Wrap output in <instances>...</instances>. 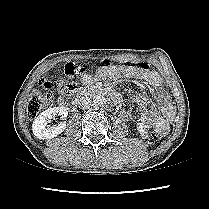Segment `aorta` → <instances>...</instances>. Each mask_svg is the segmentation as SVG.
<instances>
[{
    "label": "aorta",
    "instance_id": "aorta-1",
    "mask_svg": "<svg viewBox=\"0 0 209 209\" xmlns=\"http://www.w3.org/2000/svg\"><path fill=\"white\" fill-rule=\"evenodd\" d=\"M106 102H107V99L102 95H96L94 97V103L98 106H103L106 104Z\"/></svg>",
    "mask_w": 209,
    "mask_h": 209
}]
</instances>
